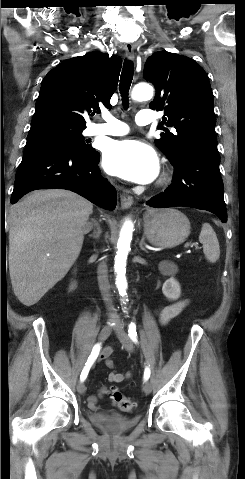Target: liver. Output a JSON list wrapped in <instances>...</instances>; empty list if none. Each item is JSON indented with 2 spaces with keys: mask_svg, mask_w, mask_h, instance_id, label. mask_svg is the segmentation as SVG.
Returning <instances> with one entry per match:
<instances>
[{
  "mask_svg": "<svg viewBox=\"0 0 245 479\" xmlns=\"http://www.w3.org/2000/svg\"><path fill=\"white\" fill-rule=\"evenodd\" d=\"M92 212V203L63 189L34 191L11 208L9 272L22 304H36L64 278L91 229Z\"/></svg>",
  "mask_w": 245,
  "mask_h": 479,
  "instance_id": "1",
  "label": "liver"
}]
</instances>
